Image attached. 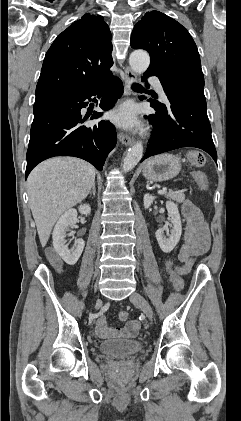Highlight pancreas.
<instances>
[{
  "label": "pancreas",
  "instance_id": "cf45deb5",
  "mask_svg": "<svg viewBox=\"0 0 241 421\" xmlns=\"http://www.w3.org/2000/svg\"><path fill=\"white\" fill-rule=\"evenodd\" d=\"M164 195L167 198H170L178 203H182L185 200V195L183 193L180 192H165Z\"/></svg>",
  "mask_w": 241,
  "mask_h": 421
}]
</instances>
